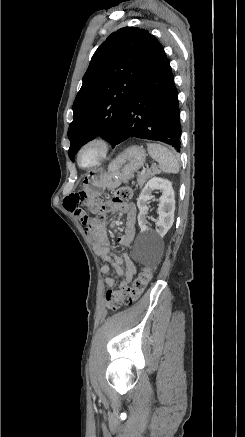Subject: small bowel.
Returning a JSON list of instances; mask_svg holds the SVG:
<instances>
[{"label": "small bowel", "instance_id": "c3829d8e", "mask_svg": "<svg viewBox=\"0 0 245 437\" xmlns=\"http://www.w3.org/2000/svg\"><path fill=\"white\" fill-rule=\"evenodd\" d=\"M86 193L84 191H77L70 194L65 200V209L75 215L81 222V227L87 229L92 238L94 252L107 264L103 265L101 271L108 275L111 267L115 269V276H108L104 283L111 288L119 286L126 287L128 283L134 278L137 273L136 265L124 253L117 255L110 248V239L108 231L104 223L100 220H93L92 215H87L85 211ZM95 203H91L90 207H94ZM112 211H121L126 216L124 227V234L118 238V243L121 247L127 248L131 245L136 234V218L137 211L133 203H113L111 205Z\"/></svg>", "mask_w": 245, "mask_h": 437}]
</instances>
